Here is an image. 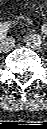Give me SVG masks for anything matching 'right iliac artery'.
Listing matches in <instances>:
<instances>
[{
    "label": "right iliac artery",
    "instance_id": "obj_1",
    "mask_svg": "<svg viewBox=\"0 0 47 129\" xmlns=\"http://www.w3.org/2000/svg\"><path fill=\"white\" fill-rule=\"evenodd\" d=\"M10 25H11V24L8 23V22H6V23L0 25V39H1V40H3V39L6 38V35H7L8 30H9V26H10Z\"/></svg>",
    "mask_w": 47,
    "mask_h": 129
}]
</instances>
